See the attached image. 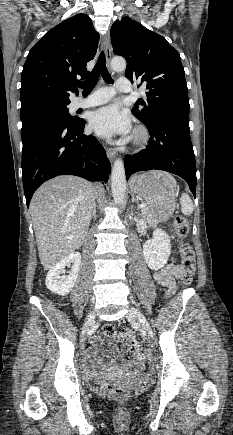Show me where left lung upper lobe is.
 <instances>
[{
    "label": "left lung upper lobe",
    "mask_w": 233,
    "mask_h": 435,
    "mask_svg": "<svg viewBox=\"0 0 233 435\" xmlns=\"http://www.w3.org/2000/svg\"><path fill=\"white\" fill-rule=\"evenodd\" d=\"M116 55L127 61L125 76L146 86L132 113L146 126L162 122H189L188 89L179 53L167 40L128 17L111 28Z\"/></svg>",
    "instance_id": "1"
}]
</instances>
